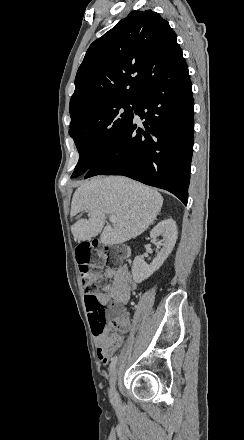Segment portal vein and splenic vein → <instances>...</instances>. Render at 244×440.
I'll return each mask as SVG.
<instances>
[{
    "mask_svg": "<svg viewBox=\"0 0 244 440\" xmlns=\"http://www.w3.org/2000/svg\"><path fill=\"white\" fill-rule=\"evenodd\" d=\"M109 220H110V222H112V224H116V222H117L116 216H112V214H110Z\"/></svg>",
    "mask_w": 244,
    "mask_h": 440,
    "instance_id": "portal-vein-and-splenic-vein-1",
    "label": "portal vein and splenic vein"
}]
</instances>
